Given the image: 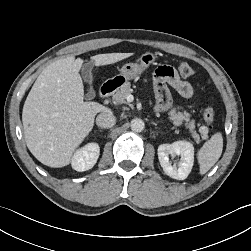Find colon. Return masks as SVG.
Here are the masks:
<instances>
[{"label": "colon", "mask_w": 251, "mask_h": 251, "mask_svg": "<svg viewBox=\"0 0 251 251\" xmlns=\"http://www.w3.org/2000/svg\"><path fill=\"white\" fill-rule=\"evenodd\" d=\"M177 73L183 78H189L194 75V69L186 62H178ZM203 117L208 128L211 129L214 121V110L211 106L204 109Z\"/></svg>", "instance_id": "5ec220e1"}]
</instances>
